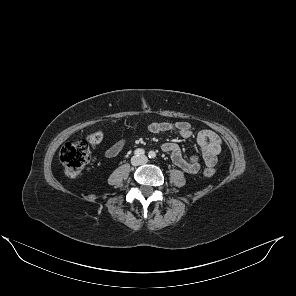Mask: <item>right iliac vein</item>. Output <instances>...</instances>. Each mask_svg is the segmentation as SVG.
<instances>
[{"label": "right iliac vein", "mask_w": 296, "mask_h": 296, "mask_svg": "<svg viewBox=\"0 0 296 296\" xmlns=\"http://www.w3.org/2000/svg\"><path fill=\"white\" fill-rule=\"evenodd\" d=\"M133 166H138L141 163L140 158L134 157L131 161Z\"/></svg>", "instance_id": "obj_1"}]
</instances>
